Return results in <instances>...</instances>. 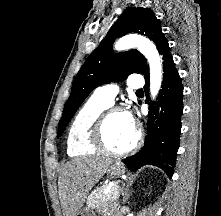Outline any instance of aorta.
I'll list each match as a JSON object with an SVG mask.
<instances>
[{
    "label": "aorta",
    "instance_id": "obj_1",
    "mask_svg": "<svg viewBox=\"0 0 221 216\" xmlns=\"http://www.w3.org/2000/svg\"><path fill=\"white\" fill-rule=\"evenodd\" d=\"M137 48L148 60L150 66V93L154 99L162 83V64L156 46L149 39L140 35H126L115 43L117 51Z\"/></svg>",
    "mask_w": 221,
    "mask_h": 216
}]
</instances>
